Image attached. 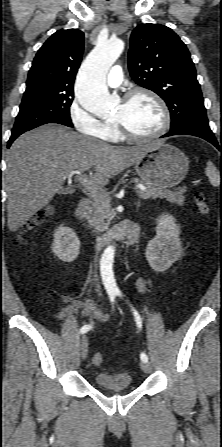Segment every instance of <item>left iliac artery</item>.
<instances>
[{"label":"left iliac artery","mask_w":222,"mask_h":447,"mask_svg":"<svg viewBox=\"0 0 222 447\" xmlns=\"http://www.w3.org/2000/svg\"><path fill=\"white\" fill-rule=\"evenodd\" d=\"M115 294H117V295H119V296H122L120 290H118V289L115 291ZM132 310H133V314H134V316H135V320H136L137 326H138V328L141 329V328H142V320H141V317H140V315L138 314V312H137L134 308H133ZM140 358H141V360L144 361V362H147V361H148V357H147V355H146L145 353H141Z\"/></svg>","instance_id":"left-iliac-artery-1"}]
</instances>
